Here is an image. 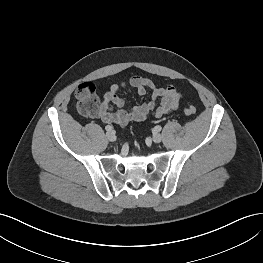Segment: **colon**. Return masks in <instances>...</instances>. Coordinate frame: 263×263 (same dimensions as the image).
Returning <instances> with one entry per match:
<instances>
[{
  "instance_id": "1",
  "label": "colon",
  "mask_w": 263,
  "mask_h": 263,
  "mask_svg": "<svg viewBox=\"0 0 263 263\" xmlns=\"http://www.w3.org/2000/svg\"><path fill=\"white\" fill-rule=\"evenodd\" d=\"M76 109L85 114L90 115L96 111L98 105V95L96 86L91 82H84L80 84L76 90ZM187 115L196 113V108L193 105L185 107Z\"/></svg>"
}]
</instances>
